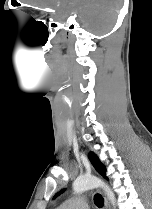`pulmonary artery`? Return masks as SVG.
Segmentation results:
<instances>
[{
    "label": "pulmonary artery",
    "mask_w": 152,
    "mask_h": 209,
    "mask_svg": "<svg viewBox=\"0 0 152 209\" xmlns=\"http://www.w3.org/2000/svg\"><path fill=\"white\" fill-rule=\"evenodd\" d=\"M59 209H89L88 200L85 196L74 197L64 202Z\"/></svg>",
    "instance_id": "1"
}]
</instances>
